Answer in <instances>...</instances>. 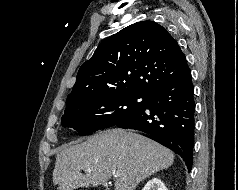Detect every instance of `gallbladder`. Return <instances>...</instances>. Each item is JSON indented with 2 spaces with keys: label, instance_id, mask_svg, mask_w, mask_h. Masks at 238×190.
I'll return each mask as SVG.
<instances>
[{
  "label": "gallbladder",
  "instance_id": "1",
  "mask_svg": "<svg viewBox=\"0 0 238 190\" xmlns=\"http://www.w3.org/2000/svg\"><path fill=\"white\" fill-rule=\"evenodd\" d=\"M108 187H109V186H108V185H106V190H109V189H108Z\"/></svg>",
  "mask_w": 238,
  "mask_h": 190
}]
</instances>
